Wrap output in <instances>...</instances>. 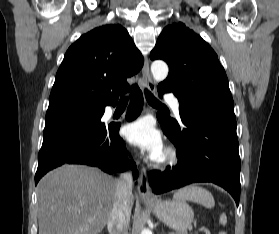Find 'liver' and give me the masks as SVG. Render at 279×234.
Instances as JSON below:
<instances>
[{
    "label": "liver",
    "instance_id": "6515ba94",
    "mask_svg": "<svg viewBox=\"0 0 279 234\" xmlns=\"http://www.w3.org/2000/svg\"><path fill=\"white\" fill-rule=\"evenodd\" d=\"M37 200L39 234H99L116 201V180L96 168L63 165L40 180Z\"/></svg>",
    "mask_w": 279,
    "mask_h": 234
}]
</instances>
